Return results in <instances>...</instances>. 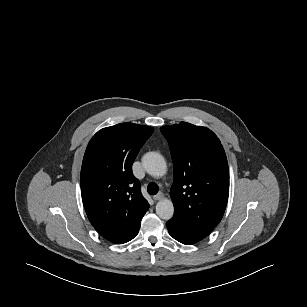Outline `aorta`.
Wrapping results in <instances>:
<instances>
[{
	"label": "aorta",
	"instance_id": "1",
	"mask_svg": "<svg viewBox=\"0 0 307 307\" xmlns=\"http://www.w3.org/2000/svg\"><path fill=\"white\" fill-rule=\"evenodd\" d=\"M142 165L145 171L154 177H162L167 172L164 157L156 152H148L142 157ZM156 214L164 220H170L174 214V206L171 200L162 199L156 204Z\"/></svg>",
	"mask_w": 307,
	"mask_h": 307
}]
</instances>
